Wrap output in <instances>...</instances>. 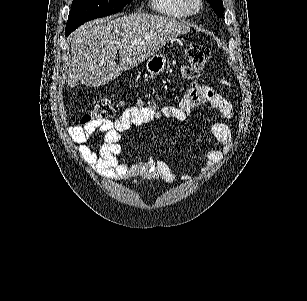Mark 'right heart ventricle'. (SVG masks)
I'll list each match as a JSON object with an SVG mask.
<instances>
[{
    "label": "right heart ventricle",
    "mask_w": 307,
    "mask_h": 301,
    "mask_svg": "<svg viewBox=\"0 0 307 301\" xmlns=\"http://www.w3.org/2000/svg\"><path fill=\"white\" fill-rule=\"evenodd\" d=\"M154 12L159 13V17H183V10H179L180 0H152Z\"/></svg>",
    "instance_id": "right-heart-ventricle-1"
}]
</instances>
